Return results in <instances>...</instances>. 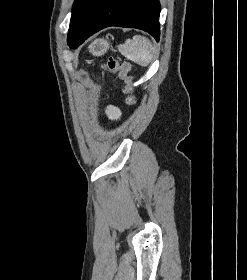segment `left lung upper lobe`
Returning <instances> with one entry per match:
<instances>
[{"label": "left lung upper lobe", "instance_id": "1", "mask_svg": "<svg viewBox=\"0 0 247 280\" xmlns=\"http://www.w3.org/2000/svg\"><path fill=\"white\" fill-rule=\"evenodd\" d=\"M101 0H75L72 7V15L70 20V27L68 36L75 35L82 24L86 20L87 16L91 10L100 2Z\"/></svg>", "mask_w": 247, "mask_h": 280}]
</instances>
